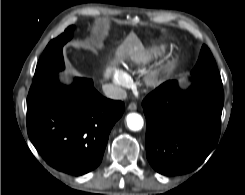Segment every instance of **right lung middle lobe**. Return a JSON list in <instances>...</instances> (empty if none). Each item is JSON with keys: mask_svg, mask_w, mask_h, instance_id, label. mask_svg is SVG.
I'll use <instances>...</instances> for the list:
<instances>
[{"mask_svg": "<svg viewBox=\"0 0 245 195\" xmlns=\"http://www.w3.org/2000/svg\"><path fill=\"white\" fill-rule=\"evenodd\" d=\"M73 30L74 26H70L63 34L49 42L37 64L33 84L56 76L59 71L64 69L62 48L72 38Z\"/></svg>", "mask_w": 245, "mask_h": 195, "instance_id": "1", "label": "right lung middle lobe"}]
</instances>
